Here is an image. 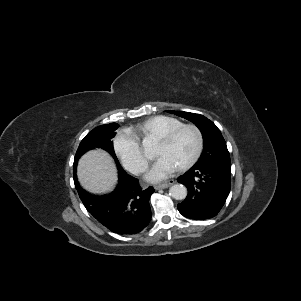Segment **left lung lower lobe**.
I'll list each match as a JSON object with an SVG mask.
<instances>
[{
	"instance_id": "obj_1",
	"label": "left lung lower lobe",
	"mask_w": 301,
	"mask_h": 301,
	"mask_svg": "<svg viewBox=\"0 0 301 301\" xmlns=\"http://www.w3.org/2000/svg\"><path fill=\"white\" fill-rule=\"evenodd\" d=\"M231 166L222 164L194 165L177 178L188 189L186 199L177 205L190 219L205 220L216 216L230 192Z\"/></svg>"
}]
</instances>
